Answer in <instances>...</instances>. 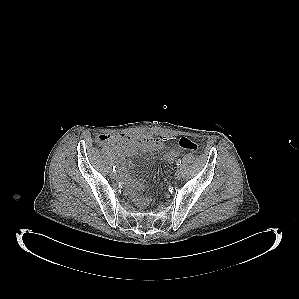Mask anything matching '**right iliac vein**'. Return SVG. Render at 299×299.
I'll use <instances>...</instances> for the list:
<instances>
[{
    "label": "right iliac vein",
    "mask_w": 299,
    "mask_h": 299,
    "mask_svg": "<svg viewBox=\"0 0 299 299\" xmlns=\"http://www.w3.org/2000/svg\"><path fill=\"white\" fill-rule=\"evenodd\" d=\"M110 176H111V178H113V179H117V178H118V174H117L116 172H114V171H112V172L110 173Z\"/></svg>",
    "instance_id": "1"
}]
</instances>
